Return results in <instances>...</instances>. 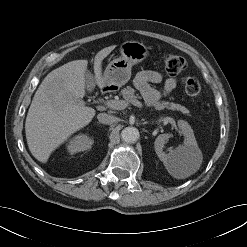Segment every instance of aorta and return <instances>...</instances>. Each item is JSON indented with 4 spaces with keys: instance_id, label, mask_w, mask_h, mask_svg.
<instances>
[{
    "instance_id": "aorta-1",
    "label": "aorta",
    "mask_w": 247,
    "mask_h": 247,
    "mask_svg": "<svg viewBox=\"0 0 247 247\" xmlns=\"http://www.w3.org/2000/svg\"><path fill=\"white\" fill-rule=\"evenodd\" d=\"M121 138L126 143H134L139 138V131L135 127H126L121 131Z\"/></svg>"
}]
</instances>
